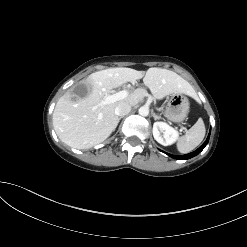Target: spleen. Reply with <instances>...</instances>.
<instances>
[{
    "instance_id": "1",
    "label": "spleen",
    "mask_w": 247,
    "mask_h": 247,
    "mask_svg": "<svg viewBox=\"0 0 247 247\" xmlns=\"http://www.w3.org/2000/svg\"><path fill=\"white\" fill-rule=\"evenodd\" d=\"M205 133L204 122L202 118H199L188 132L178 139L177 150L183 154L191 152L202 142Z\"/></svg>"
}]
</instances>
